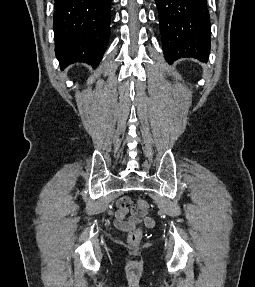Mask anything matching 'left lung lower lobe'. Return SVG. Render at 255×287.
<instances>
[{"label":"left lung lower lobe","instance_id":"left-lung-lower-lobe-1","mask_svg":"<svg viewBox=\"0 0 255 287\" xmlns=\"http://www.w3.org/2000/svg\"><path fill=\"white\" fill-rule=\"evenodd\" d=\"M163 51L169 63L181 57L207 62L210 21L207 0H155Z\"/></svg>","mask_w":255,"mask_h":287}]
</instances>
